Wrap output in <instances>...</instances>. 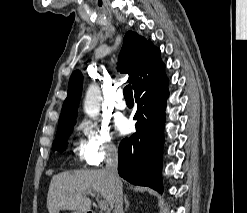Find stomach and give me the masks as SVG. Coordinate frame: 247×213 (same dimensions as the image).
Here are the masks:
<instances>
[{
	"label": "stomach",
	"mask_w": 247,
	"mask_h": 213,
	"mask_svg": "<svg viewBox=\"0 0 247 213\" xmlns=\"http://www.w3.org/2000/svg\"><path fill=\"white\" fill-rule=\"evenodd\" d=\"M72 213H82V212H80V211H73Z\"/></svg>",
	"instance_id": "obj_1"
}]
</instances>
